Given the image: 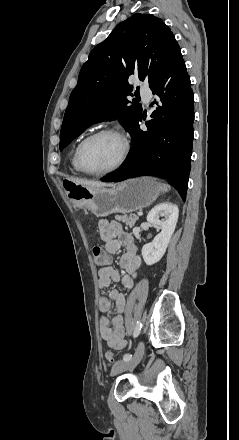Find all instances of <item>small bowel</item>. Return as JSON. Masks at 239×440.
I'll use <instances>...</instances> for the list:
<instances>
[{
  "label": "small bowel",
  "mask_w": 239,
  "mask_h": 440,
  "mask_svg": "<svg viewBox=\"0 0 239 440\" xmlns=\"http://www.w3.org/2000/svg\"><path fill=\"white\" fill-rule=\"evenodd\" d=\"M99 234L105 242L104 253L107 258L106 264L98 271V286L106 289L112 282L121 283L126 290L134 287L135 279L141 265V257L133 237L127 233L121 224L115 221L101 220L99 222ZM124 246L125 254L120 258L119 267L124 271L121 276L112 265V256ZM111 302H114L116 314L110 319L108 312ZM101 312L100 334L108 347L119 351L126 346L123 313L126 308L125 294L120 290H111L108 297H101L98 301Z\"/></svg>",
  "instance_id": "c3829d8e"
}]
</instances>
